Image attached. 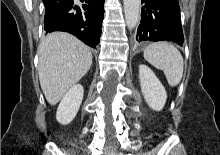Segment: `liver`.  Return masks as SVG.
<instances>
[{
	"label": "liver",
	"instance_id": "6515ba94",
	"mask_svg": "<svg viewBox=\"0 0 220 155\" xmlns=\"http://www.w3.org/2000/svg\"><path fill=\"white\" fill-rule=\"evenodd\" d=\"M38 55L39 81L50 105L57 104L88 72L93 58L88 46L64 32L48 34Z\"/></svg>",
	"mask_w": 220,
	"mask_h": 155
}]
</instances>
